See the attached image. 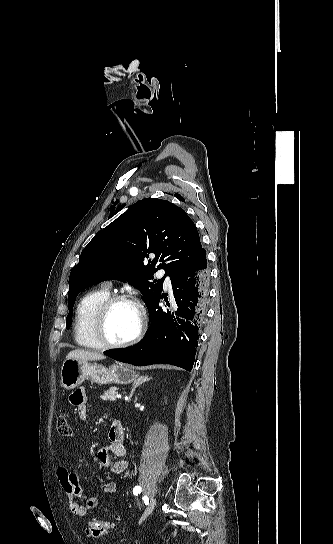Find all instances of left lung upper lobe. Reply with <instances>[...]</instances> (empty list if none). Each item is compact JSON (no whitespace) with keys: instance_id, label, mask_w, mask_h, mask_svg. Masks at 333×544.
I'll list each match as a JSON object with an SVG mask.
<instances>
[{"instance_id":"5c2ea615","label":"left lung upper lobe","mask_w":333,"mask_h":544,"mask_svg":"<svg viewBox=\"0 0 333 544\" xmlns=\"http://www.w3.org/2000/svg\"><path fill=\"white\" fill-rule=\"evenodd\" d=\"M201 248L196 226L182 208L161 199L138 201L83 249L70 273L66 328L83 288L103 278L129 280L149 306L160 297L164 278H172ZM150 253L155 254L153 260ZM159 269L166 271L165 276L151 282Z\"/></svg>"}]
</instances>
